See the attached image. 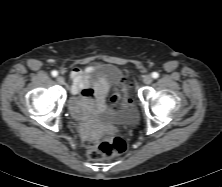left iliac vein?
I'll list each match as a JSON object with an SVG mask.
<instances>
[{
  "label": "left iliac vein",
  "instance_id": "4c4485c4",
  "mask_svg": "<svg viewBox=\"0 0 222 187\" xmlns=\"http://www.w3.org/2000/svg\"><path fill=\"white\" fill-rule=\"evenodd\" d=\"M152 80H153V78H152V76L151 75H146V76H144V78H143V82L145 83V84H151L152 83Z\"/></svg>",
  "mask_w": 222,
  "mask_h": 187
}]
</instances>
